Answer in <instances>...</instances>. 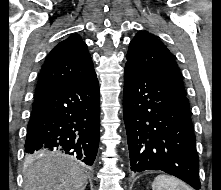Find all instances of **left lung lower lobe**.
<instances>
[{
    "instance_id": "0a47b994",
    "label": "left lung lower lobe",
    "mask_w": 221,
    "mask_h": 190,
    "mask_svg": "<svg viewBox=\"0 0 221 190\" xmlns=\"http://www.w3.org/2000/svg\"><path fill=\"white\" fill-rule=\"evenodd\" d=\"M123 112L131 170H161L199 190V157L187 96L127 62Z\"/></svg>"
}]
</instances>
